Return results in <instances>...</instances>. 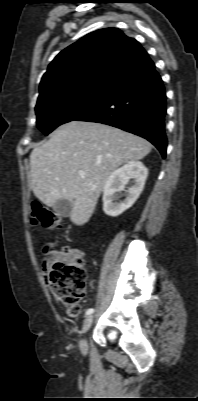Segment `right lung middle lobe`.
Masks as SVG:
<instances>
[{
    "label": "right lung middle lobe",
    "mask_w": 198,
    "mask_h": 401,
    "mask_svg": "<svg viewBox=\"0 0 198 401\" xmlns=\"http://www.w3.org/2000/svg\"><path fill=\"white\" fill-rule=\"evenodd\" d=\"M107 87L103 84H88L38 99L35 108L37 127L47 135L59 125L74 120L93 107Z\"/></svg>",
    "instance_id": "dd1d6c3e"
}]
</instances>
